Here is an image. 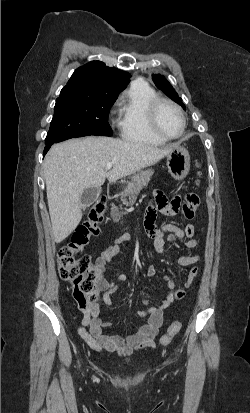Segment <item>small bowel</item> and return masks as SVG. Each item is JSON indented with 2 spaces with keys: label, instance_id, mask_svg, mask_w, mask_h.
<instances>
[{
  "label": "small bowel",
  "instance_id": "1",
  "mask_svg": "<svg viewBox=\"0 0 250 413\" xmlns=\"http://www.w3.org/2000/svg\"><path fill=\"white\" fill-rule=\"evenodd\" d=\"M182 202L183 195L181 193H176L172 198V201L168 203L162 192H156L147 208L144 226L147 237L153 238L154 248L158 254L168 261L174 262L178 266H192L185 287L177 289L174 280L170 276H165L164 280L167 283L168 293L162 298L158 306H149L146 310L139 311L137 315L142 318H147L146 323L141 325L134 333L125 336L104 333V329L111 328L113 324L110 321H102L100 319L98 304L89 307L79 306L83 313V318L77 331L80 337L92 350L98 353L107 351L115 352L120 356H128L135 351L154 348V340L163 323L164 309H166L173 301L184 298L186 289L196 282L198 275L197 264L200 261V256L182 255L172 259L165 251V241H178L186 249L197 248L199 242L194 238L196 231L195 225L187 224L184 228H180L171 223L163 224L160 227L155 225L157 211L168 216H176L180 212L179 207ZM128 239V235H123L121 238L108 244L95 260V267L99 273L97 280L98 288L103 292L102 300L107 306H112L111 294L117 290L119 284L126 280V277L121 274L117 276L115 281L108 280L105 276L106 264L119 252V244ZM156 273V267L154 265H149L147 268V275L149 277H154ZM142 303L148 305L147 300H143Z\"/></svg>",
  "mask_w": 250,
  "mask_h": 413
}]
</instances>
